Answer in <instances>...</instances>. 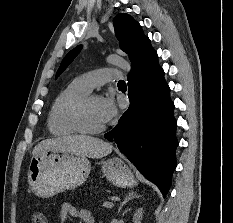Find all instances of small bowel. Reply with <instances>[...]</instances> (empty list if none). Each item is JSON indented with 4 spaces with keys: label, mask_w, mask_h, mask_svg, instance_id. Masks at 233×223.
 <instances>
[{
    "label": "small bowel",
    "mask_w": 233,
    "mask_h": 223,
    "mask_svg": "<svg viewBox=\"0 0 233 223\" xmlns=\"http://www.w3.org/2000/svg\"><path fill=\"white\" fill-rule=\"evenodd\" d=\"M82 220L84 223H95L92 213L85 209H80L71 203L65 202L60 211V223H66L68 218Z\"/></svg>",
    "instance_id": "small-bowel-1"
}]
</instances>
